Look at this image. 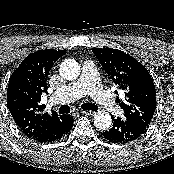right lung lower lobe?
Listing matches in <instances>:
<instances>
[{"mask_svg":"<svg viewBox=\"0 0 174 174\" xmlns=\"http://www.w3.org/2000/svg\"><path fill=\"white\" fill-rule=\"evenodd\" d=\"M73 121H74L73 117L70 116L68 122L64 123V125L62 126L57 127L56 130H54L51 134L45 135L35 140L41 143L57 141L62 137H64L69 132V130L72 127Z\"/></svg>","mask_w":174,"mask_h":174,"instance_id":"1","label":"right lung lower lobe"}]
</instances>
